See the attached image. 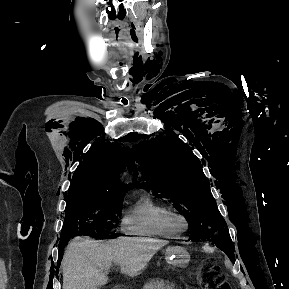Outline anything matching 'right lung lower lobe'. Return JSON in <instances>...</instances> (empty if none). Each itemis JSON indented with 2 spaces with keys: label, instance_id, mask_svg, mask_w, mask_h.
Wrapping results in <instances>:
<instances>
[{
  "label": "right lung lower lobe",
  "instance_id": "1",
  "mask_svg": "<svg viewBox=\"0 0 289 289\" xmlns=\"http://www.w3.org/2000/svg\"><path fill=\"white\" fill-rule=\"evenodd\" d=\"M67 244V243H66ZM65 242H60L59 243V257L61 256V254H62V251H63V249H64V247H65Z\"/></svg>",
  "mask_w": 289,
  "mask_h": 289
}]
</instances>
